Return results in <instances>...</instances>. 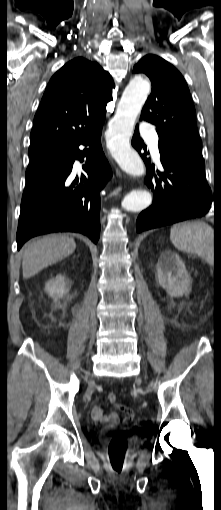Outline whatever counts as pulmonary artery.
I'll return each instance as SVG.
<instances>
[{
    "instance_id": "e3ab8cb5",
    "label": "pulmonary artery",
    "mask_w": 221,
    "mask_h": 510,
    "mask_svg": "<svg viewBox=\"0 0 221 510\" xmlns=\"http://www.w3.org/2000/svg\"><path fill=\"white\" fill-rule=\"evenodd\" d=\"M141 134L148 144L149 148L155 155V157H159V149H158V135L157 132L151 128L149 123L143 122L141 124Z\"/></svg>"
}]
</instances>
